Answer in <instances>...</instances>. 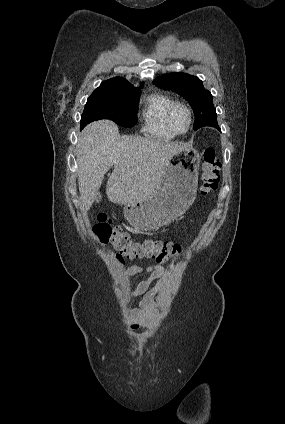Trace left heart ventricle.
Masks as SVG:
<instances>
[{
    "label": "left heart ventricle",
    "instance_id": "b2bd125f",
    "mask_svg": "<svg viewBox=\"0 0 285 424\" xmlns=\"http://www.w3.org/2000/svg\"><path fill=\"white\" fill-rule=\"evenodd\" d=\"M173 123L179 131H185L188 127L189 117L185 109L178 108L173 115Z\"/></svg>",
    "mask_w": 285,
    "mask_h": 424
}]
</instances>
